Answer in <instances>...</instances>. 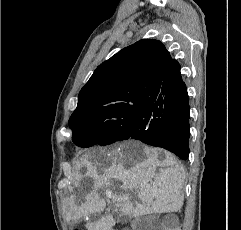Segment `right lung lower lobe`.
<instances>
[{"mask_svg": "<svg viewBox=\"0 0 241 230\" xmlns=\"http://www.w3.org/2000/svg\"><path fill=\"white\" fill-rule=\"evenodd\" d=\"M148 127L130 134L148 145L165 148L183 160L189 156L190 107L180 65L173 62L163 77L156 99L145 107Z\"/></svg>", "mask_w": 241, "mask_h": 230, "instance_id": "obj_1", "label": "right lung lower lobe"}]
</instances>
